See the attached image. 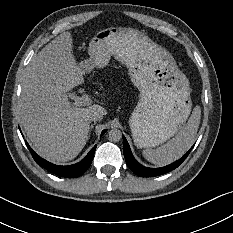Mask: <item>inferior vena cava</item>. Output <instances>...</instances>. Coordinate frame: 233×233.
Listing matches in <instances>:
<instances>
[{"label":"inferior vena cava","instance_id":"1","mask_svg":"<svg viewBox=\"0 0 233 233\" xmlns=\"http://www.w3.org/2000/svg\"><path fill=\"white\" fill-rule=\"evenodd\" d=\"M104 116V113L101 108L93 110L89 115L88 119L91 121H100Z\"/></svg>","mask_w":233,"mask_h":233}]
</instances>
